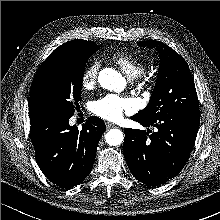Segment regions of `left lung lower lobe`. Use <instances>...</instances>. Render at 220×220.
<instances>
[{
	"label": "left lung lower lobe",
	"instance_id": "left-lung-lower-lobe-1",
	"mask_svg": "<svg viewBox=\"0 0 220 220\" xmlns=\"http://www.w3.org/2000/svg\"><path fill=\"white\" fill-rule=\"evenodd\" d=\"M144 127L158 130L125 129L124 156L133 176L140 182L156 186L179 174L193 149L200 116L180 112L156 119L131 117Z\"/></svg>",
	"mask_w": 220,
	"mask_h": 220
}]
</instances>
